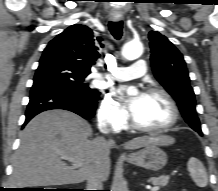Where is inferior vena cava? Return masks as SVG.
<instances>
[{
	"instance_id": "1",
	"label": "inferior vena cava",
	"mask_w": 218,
	"mask_h": 191,
	"mask_svg": "<svg viewBox=\"0 0 218 191\" xmlns=\"http://www.w3.org/2000/svg\"><path fill=\"white\" fill-rule=\"evenodd\" d=\"M98 128L103 134H108L110 131L107 127V124L104 121L99 122ZM108 144L113 146L114 141L110 139L108 141ZM102 187H103V174L100 170L95 169L92 172H90L87 178V190H102Z\"/></svg>"
}]
</instances>
